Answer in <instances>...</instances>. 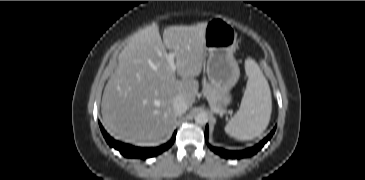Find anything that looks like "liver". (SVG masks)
<instances>
[{
	"label": "liver",
	"instance_id": "liver-1",
	"mask_svg": "<svg viewBox=\"0 0 365 180\" xmlns=\"http://www.w3.org/2000/svg\"><path fill=\"white\" fill-rule=\"evenodd\" d=\"M206 22L170 26L161 39L157 25L134 34L118 56L101 102L103 125L116 139L141 146L158 143L172 129L180 96L188 108L198 94L195 77L202 71ZM176 53L173 71L165 53ZM176 75L181 79H177Z\"/></svg>",
	"mask_w": 365,
	"mask_h": 180
}]
</instances>
